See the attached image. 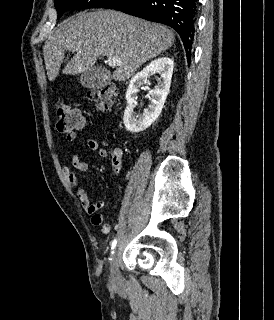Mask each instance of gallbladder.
<instances>
[{"label": "gallbladder", "mask_w": 274, "mask_h": 320, "mask_svg": "<svg viewBox=\"0 0 274 320\" xmlns=\"http://www.w3.org/2000/svg\"><path fill=\"white\" fill-rule=\"evenodd\" d=\"M115 77V72H106V68H85L80 76V84L84 88L97 90L98 85H109Z\"/></svg>", "instance_id": "obj_1"}]
</instances>
